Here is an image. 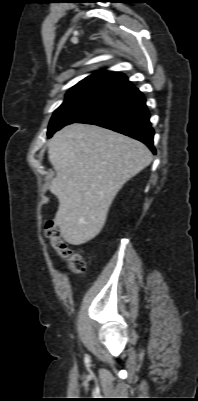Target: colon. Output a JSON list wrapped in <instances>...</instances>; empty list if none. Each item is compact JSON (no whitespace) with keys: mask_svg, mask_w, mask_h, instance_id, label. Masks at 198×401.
<instances>
[{"mask_svg":"<svg viewBox=\"0 0 198 401\" xmlns=\"http://www.w3.org/2000/svg\"><path fill=\"white\" fill-rule=\"evenodd\" d=\"M45 237L49 241L51 248L57 255L67 260L70 269L75 273H80L85 269V262L81 255L75 252L62 238L57 224L49 220L45 225Z\"/></svg>","mask_w":198,"mask_h":401,"instance_id":"5ec220e1","label":"colon"}]
</instances>
